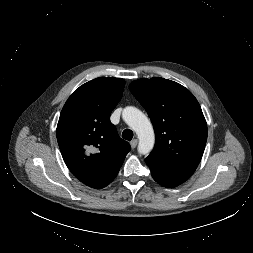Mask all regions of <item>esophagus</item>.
Segmentation results:
<instances>
[{
	"mask_svg": "<svg viewBox=\"0 0 253 253\" xmlns=\"http://www.w3.org/2000/svg\"><path fill=\"white\" fill-rule=\"evenodd\" d=\"M138 144V140L137 139H133L131 142H130V145H131V148L134 149Z\"/></svg>",
	"mask_w": 253,
	"mask_h": 253,
	"instance_id": "obj_1",
	"label": "esophagus"
}]
</instances>
